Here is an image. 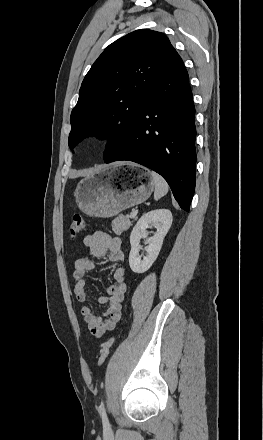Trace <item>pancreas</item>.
I'll list each match as a JSON object with an SVG mask.
<instances>
[{
	"instance_id": "cf45deb5",
	"label": "pancreas",
	"mask_w": 263,
	"mask_h": 440,
	"mask_svg": "<svg viewBox=\"0 0 263 440\" xmlns=\"http://www.w3.org/2000/svg\"><path fill=\"white\" fill-rule=\"evenodd\" d=\"M112 230L116 235H121L123 231L128 230L132 226L128 216L119 215L112 221Z\"/></svg>"
}]
</instances>
